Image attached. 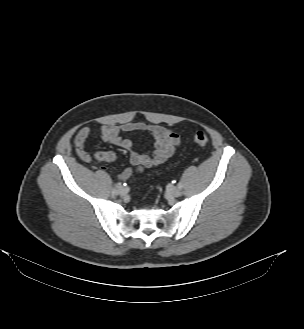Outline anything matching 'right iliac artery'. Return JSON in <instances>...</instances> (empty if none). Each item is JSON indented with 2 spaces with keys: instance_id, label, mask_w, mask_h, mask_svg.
Returning <instances> with one entry per match:
<instances>
[{
  "instance_id": "obj_1",
  "label": "right iliac artery",
  "mask_w": 304,
  "mask_h": 329,
  "mask_svg": "<svg viewBox=\"0 0 304 329\" xmlns=\"http://www.w3.org/2000/svg\"><path fill=\"white\" fill-rule=\"evenodd\" d=\"M116 188H117V185H116L115 187L112 188V193H113V194H117V189H116Z\"/></svg>"
}]
</instances>
